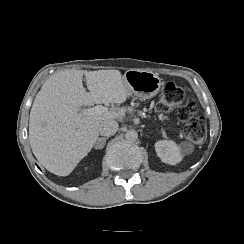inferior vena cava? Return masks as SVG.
<instances>
[{
	"label": "inferior vena cava",
	"instance_id": "obj_1",
	"mask_svg": "<svg viewBox=\"0 0 244 244\" xmlns=\"http://www.w3.org/2000/svg\"><path fill=\"white\" fill-rule=\"evenodd\" d=\"M118 128H119L118 122L115 120L104 121L98 127L99 133L102 136H106V137H109L114 133H116Z\"/></svg>",
	"mask_w": 244,
	"mask_h": 244
}]
</instances>
